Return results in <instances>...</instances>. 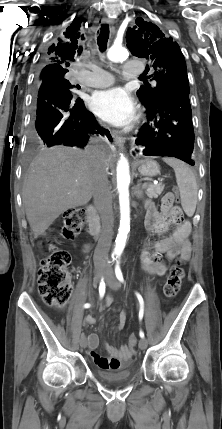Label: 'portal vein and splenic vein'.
<instances>
[{
  "label": "portal vein and splenic vein",
  "mask_w": 222,
  "mask_h": 429,
  "mask_svg": "<svg viewBox=\"0 0 222 429\" xmlns=\"http://www.w3.org/2000/svg\"><path fill=\"white\" fill-rule=\"evenodd\" d=\"M146 186H147V183H144V184H143V187L145 188Z\"/></svg>",
  "instance_id": "portal-vein-and-splenic-vein-1"
}]
</instances>
